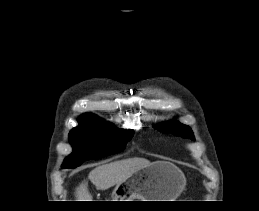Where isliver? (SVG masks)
Returning a JSON list of instances; mask_svg holds the SVG:
<instances>
[{
    "label": "liver",
    "instance_id": "6515ba94",
    "mask_svg": "<svg viewBox=\"0 0 259 211\" xmlns=\"http://www.w3.org/2000/svg\"><path fill=\"white\" fill-rule=\"evenodd\" d=\"M151 162L145 158H128L116 162L102 164L91 170L88 179L99 190H106L122 183L136 171L149 166ZM77 201H92L88 183L82 182L76 189Z\"/></svg>",
    "mask_w": 259,
    "mask_h": 211
}]
</instances>
